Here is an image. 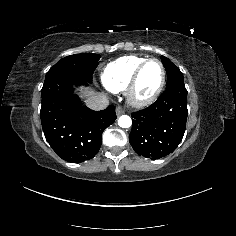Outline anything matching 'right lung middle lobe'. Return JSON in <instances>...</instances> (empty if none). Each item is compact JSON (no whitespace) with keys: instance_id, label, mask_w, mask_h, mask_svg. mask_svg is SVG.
Wrapping results in <instances>:
<instances>
[{"instance_id":"dd1d6c3e","label":"right lung middle lobe","mask_w":236,"mask_h":236,"mask_svg":"<svg viewBox=\"0 0 236 236\" xmlns=\"http://www.w3.org/2000/svg\"><path fill=\"white\" fill-rule=\"evenodd\" d=\"M100 57L98 54L82 53L62 58L46 74L45 81L59 75H77L92 82V74L98 66Z\"/></svg>"}]
</instances>
